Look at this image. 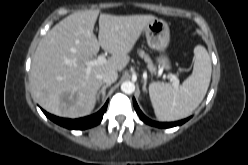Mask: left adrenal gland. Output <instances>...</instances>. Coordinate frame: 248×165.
Segmentation results:
<instances>
[{"label": "left adrenal gland", "instance_id": "a2214340", "mask_svg": "<svg viewBox=\"0 0 248 165\" xmlns=\"http://www.w3.org/2000/svg\"><path fill=\"white\" fill-rule=\"evenodd\" d=\"M146 84H147V81L144 79V84H143V91L144 92H147Z\"/></svg>", "mask_w": 248, "mask_h": 165}]
</instances>
